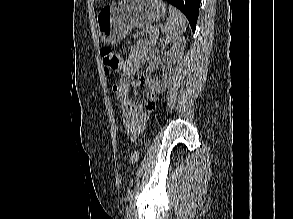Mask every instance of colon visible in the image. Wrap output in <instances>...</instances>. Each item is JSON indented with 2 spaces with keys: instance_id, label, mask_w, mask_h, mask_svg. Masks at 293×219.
<instances>
[{
  "instance_id": "colon-1",
  "label": "colon",
  "mask_w": 293,
  "mask_h": 219,
  "mask_svg": "<svg viewBox=\"0 0 293 219\" xmlns=\"http://www.w3.org/2000/svg\"><path fill=\"white\" fill-rule=\"evenodd\" d=\"M101 58L107 75H114L118 72L120 67V58L114 50L110 48H103L101 50ZM138 159L139 151L135 149L130 155V160L132 162H136Z\"/></svg>"
}]
</instances>
